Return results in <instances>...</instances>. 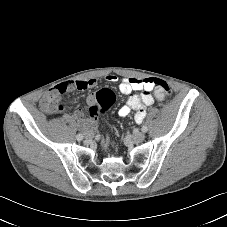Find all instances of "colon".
I'll return each mask as SVG.
<instances>
[{
    "label": "colon",
    "mask_w": 227,
    "mask_h": 227,
    "mask_svg": "<svg viewBox=\"0 0 227 227\" xmlns=\"http://www.w3.org/2000/svg\"><path fill=\"white\" fill-rule=\"evenodd\" d=\"M150 84L152 86H156L163 93L168 94L170 92V88L168 84L158 79L157 77H152L150 79ZM82 86L79 85V88ZM115 102V94L112 90L104 88L98 91L94 97V101L90 104L89 107V115L93 122H96L98 117L105 113Z\"/></svg>",
    "instance_id": "obj_1"
}]
</instances>
